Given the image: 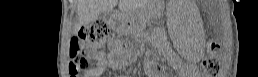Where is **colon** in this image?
<instances>
[{
  "label": "colon",
  "mask_w": 258,
  "mask_h": 77,
  "mask_svg": "<svg viewBox=\"0 0 258 77\" xmlns=\"http://www.w3.org/2000/svg\"><path fill=\"white\" fill-rule=\"evenodd\" d=\"M108 34L109 29L107 25L100 20L93 21L79 31L71 43L73 61L70 64L69 71L72 75L78 74L89 66L88 60L82 52L83 49H95L105 46ZM218 52V43L212 41L209 44L208 53L203 60V67L210 74H217L219 72Z\"/></svg>",
  "instance_id": "1"
}]
</instances>
